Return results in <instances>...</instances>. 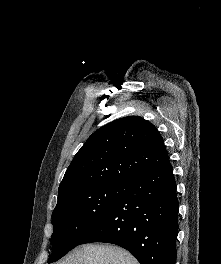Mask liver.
Masks as SVG:
<instances>
[{"label":"liver","instance_id":"1","mask_svg":"<svg viewBox=\"0 0 221 264\" xmlns=\"http://www.w3.org/2000/svg\"><path fill=\"white\" fill-rule=\"evenodd\" d=\"M57 264H139L126 250L112 245L90 244L74 250Z\"/></svg>","mask_w":221,"mask_h":264}]
</instances>
